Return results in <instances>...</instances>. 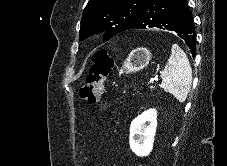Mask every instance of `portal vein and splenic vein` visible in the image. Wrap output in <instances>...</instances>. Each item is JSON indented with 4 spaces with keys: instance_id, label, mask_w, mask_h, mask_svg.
Masks as SVG:
<instances>
[{
    "instance_id": "portal-vein-and-splenic-vein-1",
    "label": "portal vein and splenic vein",
    "mask_w": 227,
    "mask_h": 166,
    "mask_svg": "<svg viewBox=\"0 0 227 166\" xmlns=\"http://www.w3.org/2000/svg\"><path fill=\"white\" fill-rule=\"evenodd\" d=\"M155 81H158V79H157V78H151V79H150V82H151V83H154Z\"/></svg>"
}]
</instances>
